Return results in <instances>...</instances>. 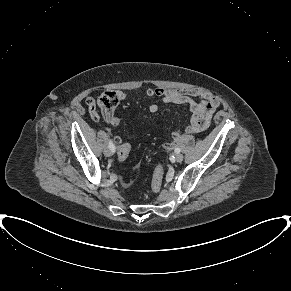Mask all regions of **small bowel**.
Masks as SVG:
<instances>
[{"mask_svg":"<svg viewBox=\"0 0 291 291\" xmlns=\"http://www.w3.org/2000/svg\"><path fill=\"white\" fill-rule=\"evenodd\" d=\"M145 94L148 97H159L164 103H174V104H187L192 112V117L190 124L186 127V133H199L206 130L210 125V119L212 114L215 112L219 106V100L209 92L190 89V90H176V89H166V88H152L147 87L145 89ZM119 98L124 99L125 94L123 92H118ZM198 99V101H196ZM86 104L89 109L90 116L93 120H98L99 115L96 111L95 101L93 97H88L86 99ZM159 107L157 104L153 103L149 106V111L151 113H156ZM103 118L108 125L111 127H117L119 124V118L114 114L113 111H104ZM184 132L181 130H176L173 132V142L165 143L164 147L166 149L173 148L177 142L182 138ZM115 142L118 147L122 146L124 142L120 137H115Z\"/></svg>","mask_w":291,"mask_h":291,"instance_id":"small-bowel-1","label":"small bowel"}]
</instances>
